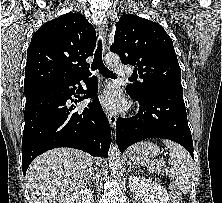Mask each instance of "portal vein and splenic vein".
Returning a JSON list of instances; mask_svg holds the SVG:
<instances>
[{
    "instance_id": "18ae733b",
    "label": "portal vein and splenic vein",
    "mask_w": 222,
    "mask_h": 203,
    "mask_svg": "<svg viewBox=\"0 0 222 203\" xmlns=\"http://www.w3.org/2000/svg\"><path fill=\"white\" fill-rule=\"evenodd\" d=\"M161 164H164V162L162 160H160L156 163V165H161Z\"/></svg>"
}]
</instances>
